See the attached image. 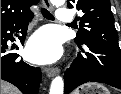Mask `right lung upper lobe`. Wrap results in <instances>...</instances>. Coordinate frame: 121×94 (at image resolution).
Returning a JSON list of instances; mask_svg holds the SVG:
<instances>
[{
    "label": "right lung upper lobe",
    "instance_id": "cb5924a9",
    "mask_svg": "<svg viewBox=\"0 0 121 94\" xmlns=\"http://www.w3.org/2000/svg\"><path fill=\"white\" fill-rule=\"evenodd\" d=\"M38 2L39 0H1V23L30 14V7Z\"/></svg>",
    "mask_w": 121,
    "mask_h": 94
}]
</instances>
